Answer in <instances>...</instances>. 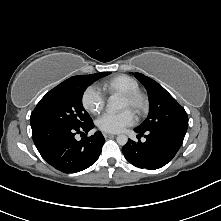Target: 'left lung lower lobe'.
Wrapping results in <instances>:
<instances>
[{
	"label": "left lung lower lobe",
	"mask_w": 221,
	"mask_h": 221,
	"mask_svg": "<svg viewBox=\"0 0 221 221\" xmlns=\"http://www.w3.org/2000/svg\"><path fill=\"white\" fill-rule=\"evenodd\" d=\"M146 141L129 140L122 148L124 157L134 166L155 170L170 162L181 147L186 131L178 128H163L141 132L134 129Z\"/></svg>",
	"instance_id": "obj_1"
}]
</instances>
